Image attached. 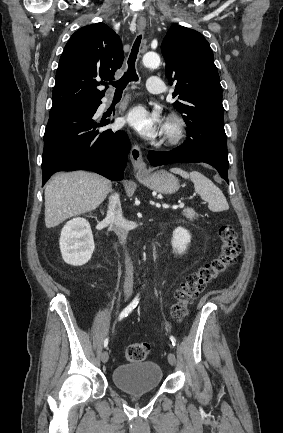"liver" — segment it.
Here are the masks:
<instances>
[{
    "label": "liver",
    "mask_w": 283,
    "mask_h": 433,
    "mask_svg": "<svg viewBox=\"0 0 283 433\" xmlns=\"http://www.w3.org/2000/svg\"><path fill=\"white\" fill-rule=\"evenodd\" d=\"M107 180L95 172L75 170L58 172L45 188V225L47 229L57 227L76 214L95 210L110 188Z\"/></svg>",
    "instance_id": "1"
}]
</instances>
